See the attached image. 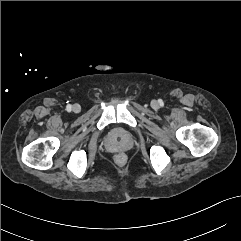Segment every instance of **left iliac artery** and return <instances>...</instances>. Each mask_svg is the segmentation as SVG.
Instances as JSON below:
<instances>
[{
    "label": "left iliac artery",
    "instance_id": "1",
    "mask_svg": "<svg viewBox=\"0 0 241 241\" xmlns=\"http://www.w3.org/2000/svg\"><path fill=\"white\" fill-rule=\"evenodd\" d=\"M160 105L163 106V102L162 101H160Z\"/></svg>",
    "mask_w": 241,
    "mask_h": 241
}]
</instances>
